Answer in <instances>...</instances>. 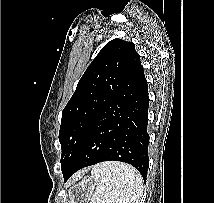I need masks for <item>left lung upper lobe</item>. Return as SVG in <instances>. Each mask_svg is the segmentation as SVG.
Wrapping results in <instances>:
<instances>
[{"label":"left lung upper lobe","mask_w":214,"mask_h":203,"mask_svg":"<svg viewBox=\"0 0 214 203\" xmlns=\"http://www.w3.org/2000/svg\"><path fill=\"white\" fill-rule=\"evenodd\" d=\"M140 64V56L132 42L113 39L88 66L62 111L59 141L63 173L79 151L95 119Z\"/></svg>","instance_id":"obj_1"}]
</instances>
